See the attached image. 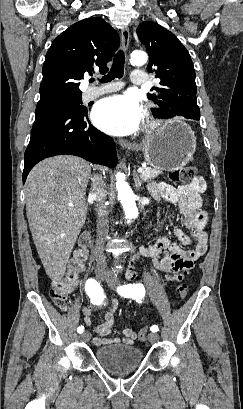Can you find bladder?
Listing matches in <instances>:
<instances>
[{"label":"bladder","instance_id":"bladder-1","mask_svg":"<svg viewBox=\"0 0 243 409\" xmlns=\"http://www.w3.org/2000/svg\"><path fill=\"white\" fill-rule=\"evenodd\" d=\"M95 359L107 371L123 373L136 369L143 360V351L139 347L113 343L98 347Z\"/></svg>","mask_w":243,"mask_h":409}]
</instances>
